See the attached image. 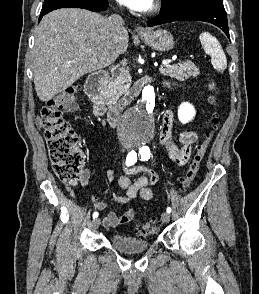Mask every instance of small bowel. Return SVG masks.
I'll use <instances>...</instances> for the list:
<instances>
[{
  "mask_svg": "<svg viewBox=\"0 0 259 294\" xmlns=\"http://www.w3.org/2000/svg\"><path fill=\"white\" fill-rule=\"evenodd\" d=\"M77 104L70 103L65 107V110L68 112H74L77 110ZM173 121L174 116L172 111H167L162 118L160 126V141L161 144L169 156V158L178 166L185 165L192 153V144H194L198 135L195 131H185L182 132L178 140L181 143V146L175 144L173 138ZM37 126L41 127V119L37 118ZM138 175V178L135 181H132L130 176ZM105 177L109 182L117 181L118 186L125 190V195L116 196L115 200L117 203H126L129 200L140 197L144 201H149L153 198V192L149 187L150 184H154L159 180V174L153 170L145 169L140 166H124V175L117 178L113 170H108L105 172ZM90 179V171L88 168H85L81 175L82 185H87ZM67 191L71 196H75L74 191L67 186ZM94 206L96 209L103 211L107 208V203L92 198ZM134 217L133 209H127L121 215H117L114 211H109L106 216L103 218L104 227H116L122 224L130 222Z\"/></svg>",
  "mask_w": 259,
  "mask_h": 294,
  "instance_id": "small-bowel-1",
  "label": "small bowel"
}]
</instances>
